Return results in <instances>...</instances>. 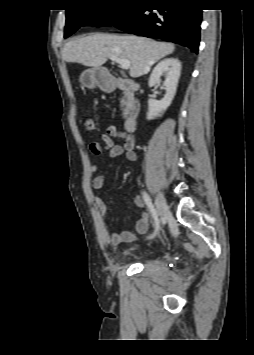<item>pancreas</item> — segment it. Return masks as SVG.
Instances as JSON below:
<instances>
[{"instance_id":"pancreas-1","label":"pancreas","mask_w":254,"mask_h":355,"mask_svg":"<svg viewBox=\"0 0 254 355\" xmlns=\"http://www.w3.org/2000/svg\"><path fill=\"white\" fill-rule=\"evenodd\" d=\"M131 106H132V102L130 101L129 96L125 95L121 99V107H125L124 111L127 112V110L131 108Z\"/></svg>"}]
</instances>
